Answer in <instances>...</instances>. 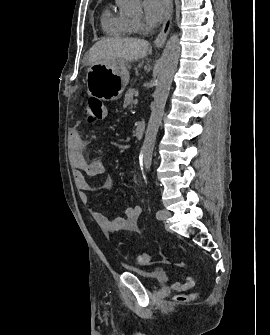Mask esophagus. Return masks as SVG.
<instances>
[{"instance_id": "obj_1", "label": "esophagus", "mask_w": 270, "mask_h": 335, "mask_svg": "<svg viewBox=\"0 0 270 335\" xmlns=\"http://www.w3.org/2000/svg\"><path fill=\"white\" fill-rule=\"evenodd\" d=\"M172 14H173V0H168L167 14L165 16L161 31L154 42L156 47H162V45L166 41L167 35L170 31L172 24Z\"/></svg>"}]
</instances>
